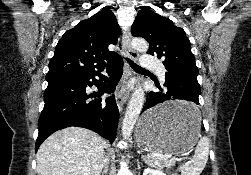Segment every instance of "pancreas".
<instances>
[{
    "label": "pancreas",
    "instance_id": "obj_1",
    "mask_svg": "<svg viewBox=\"0 0 251 175\" xmlns=\"http://www.w3.org/2000/svg\"><path fill=\"white\" fill-rule=\"evenodd\" d=\"M148 165L151 167H157V169H163V167H168V165H174V161L171 159H163V157H159V155H150V157H146Z\"/></svg>",
    "mask_w": 251,
    "mask_h": 175
}]
</instances>
